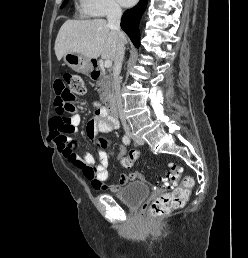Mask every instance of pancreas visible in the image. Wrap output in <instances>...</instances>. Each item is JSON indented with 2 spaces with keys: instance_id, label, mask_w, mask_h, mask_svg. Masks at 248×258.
Here are the masks:
<instances>
[{
  "instance_id": "cf45deb5",
  "label": "pancreas",
  "mask_w": 248,
  "mask_h": 258,
  "mask_svg": "<svg viewBox=\"0 0 248 258\" xmlns=\"http://www.w3.org/2000/svg\"><path fill=\"white\" fill-rule=\"evenodd\" d=\"M97 83L100 86V100L105 102L112 91V77L103 68H101Z\"/></svg>"
}]
</instances>
